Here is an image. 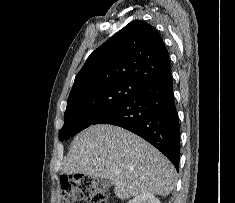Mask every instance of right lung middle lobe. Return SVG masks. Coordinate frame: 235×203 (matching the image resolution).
<instances>
[{
  "instance_id": "dd1d6c3e",
  "label": "right lung middle lobe",
  "mask_w": 235,
  "mask_h": 203,
  "mask_svg": "<svg viewBox=\"0 0 235 203\" xmlns=\"http://www.w3.org/2000/svg\"><path fill=\"white\" fill-rule=\"evenodd\" d=\"M141 85L134 81L113 80L95 83L71 92L59 140L74 136L94 124L128 99Z\"/></svg>"
}]
</instances>
